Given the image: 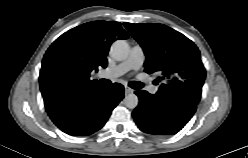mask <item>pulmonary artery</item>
Returning a JSON list of instances; mask_svg holds the SVG:
<instances>
[{
    "instance_id": "1",
    "label": "pulmonary artery",
    "mask_w": 248,
    "mask_h": 158,
    "mask_svg": "<svg viewBox=\"0 0 248 158\" xmlns=\"http://www.w3.org/2000/svg\"><path fill=\"white\" fill-rule=\"evenodd\" d=\"M145 60V54L141 46L135 45L130 50L128 57L116 66L107 68L99 73L100 77L116 78L131 70H139ZM153 93L156 88H152Z\"/></svg>"
}]
</instances>
